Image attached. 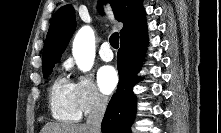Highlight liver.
I'll use <instances>...</instances> for the list:
<instances>
[{
    "instance_id": "1",
    "label": "liver",
    "mask_w": 221,
    "mask_h": 133,
    "mask_svg": "<svg viewBox=\"0 0 221 133\" xmlns=\"http://www.w3.org/2000/svg\"><path fill=\"white\" fill-rule=\"evenodd\" d=\"M41 133H89L85 124L47 123Z\"/></svg>"
}]
</instances>
